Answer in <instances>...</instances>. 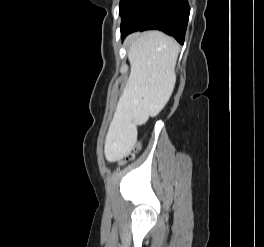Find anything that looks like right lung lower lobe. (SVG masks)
Here are the masks:
<instances>
[{"instance_id": "1", "label": "right lung lower lobe", "mask_w": 264, "mask_h": 247, "mask_svg": "<svg viewBox=\"0 0 264 247\" xmlns=\"http://www.w3.org/2000/svg\"><path fill=\"white\" fill-rule=\"evenodd\" d=\"M189 14L188 0H130L121 15V36L158 29L183 44Z\"/></svg>"}]
</instances>
